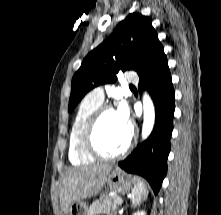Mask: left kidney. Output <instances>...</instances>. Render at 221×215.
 Here are the masks:
<instances>
[{"label": "left kidney", "mask_w": 221, "mask_h": 215, "mask_svg": "<svg viewBox=\"0 0 221 215\" xmlns=\"http://www.w3.org/2000/svg\"><path fill=\"white\" fill-rule=\"evenodd\" d=\"M132 215H146V212L141 210V211H137V212L133 213Z\"/></svg>", "instance_id": "5707ae66"}]
</instances>
